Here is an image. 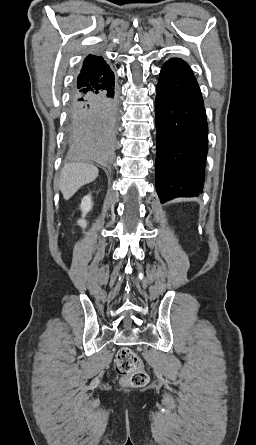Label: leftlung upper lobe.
<instances>
[{"label":"left lung upper lobe","instance_id":"1","mask_svg":"<svg viewBox=\"0 0 256 445\" xmlns=\"http://www.w3.org/2000/svg\"><path fill=\"white\" fill-rule=\"evenodd\" d=\"M167 63H171V64L176 65V66H178V67H180V68H183V69H185V70H187V71H191V69H190V67L188 66V64H187L185 61L181 60V59H178V58H172V59H170ZM191 72H192V71H191Z\"/></svg>","mask_w":256,"mask_h":445}]
</instances>
